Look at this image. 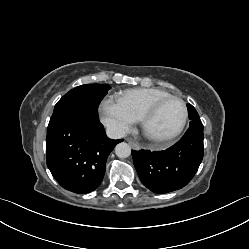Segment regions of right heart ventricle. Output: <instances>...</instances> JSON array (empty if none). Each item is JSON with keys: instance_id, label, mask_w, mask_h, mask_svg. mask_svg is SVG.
Masks as SVG:
<instances>
[{"instance_id": "obj_1", "label": "right heart ventricle", "mask_w": 249, "mask_h": 249, "mask_svg": "<svg viewBox=\"0 0 249 249\" xmlns=\"http://www.w3.org/2000/svg\"><path fill=\"white\" fill-rule=\"evenodd\" d=\"M170 95V93L160 89L141 88L120 93L117 99L140 119L143 112L152 104Z\"/></svg>"}]
</instances>
